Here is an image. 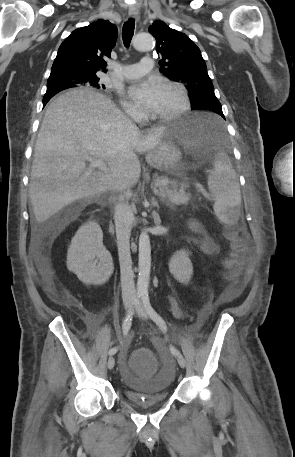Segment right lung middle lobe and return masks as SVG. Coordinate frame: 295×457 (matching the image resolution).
Returning a JSON list of instances; mask_svg holds the SVG:
<instances>
[{"label": "right lung middle lobe", "instance_id": "right-lung-middle-lobe-1", "mask_svg": "<svg viewBox=\"0 0 295 457\" xmlns=\"http://www.w3.org/2000/svg\"><path fill=\"white\" fill-rule=\"evenodd\" d=\"M98 82H99V78L98 77L89 78L87 85H91V86L97 87V88L101 87V88L105 89V86L103 84H99ZM74 87H76V86H74ZM58 92L59 91H56V90L48 91V94H46V96H45L46 102L49 101L51 96L55 95Z\"/></svg>", "mask_w": 295, "mask_h": 457}]
</instances>
